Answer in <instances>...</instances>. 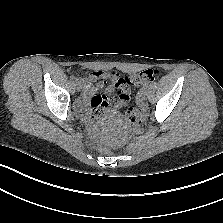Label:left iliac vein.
<instances>
[{
	"instance_id": "4c4485c4",
	"label": "left iliac vein",
	"mask_w": 223,
	"mask_h": 223,
	"mask_svg": "<svg viewBox=\"0 0 223 223\" xmlns=\"http://www.w3.org/2000/svg\"><path fill=\"white\" fill-rule=\"evenodd\" d=\"M141 99L142 100H145L146 99V94L145 93H143V95L141 96Z\"/></svg>"
}]
</instances>
